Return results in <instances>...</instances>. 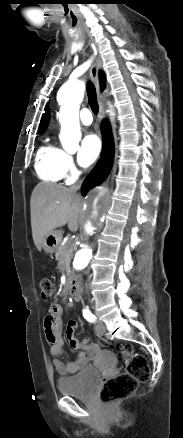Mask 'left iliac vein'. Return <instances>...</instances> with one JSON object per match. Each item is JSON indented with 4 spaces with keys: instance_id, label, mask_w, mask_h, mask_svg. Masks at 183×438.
<instances>
[{
    "instance_id": "1",
    "label": "left iliac vein",
    "mask_w": 183,
    "mask_h": 438,
    "mask_svg": "<svg viewBox=\"0 0 183 438\" xmlns=\"http://www.w3.org/2000/svg\"><path fill=\"white\" fill-rule=\"evenodd\" d=\"M96 334L99 336H103L106 332V327L102 322H97L95 325Z\"/></svg>"
}]
</instances>
